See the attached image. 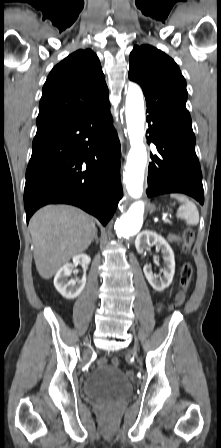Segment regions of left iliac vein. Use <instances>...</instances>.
Returning a JSON list of instances; mask_svg holds the SVG:
<instances>
[{"instance_id": "obj_1", "label": "left iliac vein", "mask_w": 221, "mask_h": 448, "mask_svg": "<svg viewBox=\"0 0 221 448\" xmlns=\"http://www.w3.org/2000/svg\"><path fill=\"white\" fill-rule=\"evenodd\" d=\"M131 352H132V353H136V350H135V349H132Z\"/></svg>"}]
</instances>
